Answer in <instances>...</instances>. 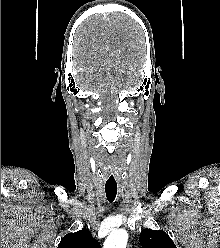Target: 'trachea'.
<instances>
[{
  "label": "trachea",
  "instance_id": "obj_1",
  "mask_svg": "<svg viewBox=\"0 0 220 248\" xmlns=\"http://www.w3.org/2000/svg\"><path fill=\"white\" fill-rule=\"evenodd\" d=\"M105 192L107 200L112 203L117 194V184L116 183H106L105 184Z\"/></svg>",
  "mask_w": 220,
  "mask_h": 248
}]
</instances>
